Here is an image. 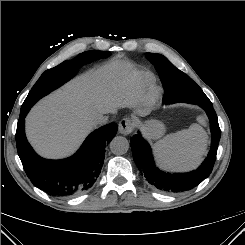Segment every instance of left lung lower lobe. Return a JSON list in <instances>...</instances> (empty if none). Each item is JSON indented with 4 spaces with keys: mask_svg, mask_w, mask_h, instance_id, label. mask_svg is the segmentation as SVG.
<instances>
[{
    "mask_svg": "<svg viewBox=\"0 0 245 245\" xmlns=\"http://www.w3.org/2000/svg\"><path fill=\"white\" fill-rule=\"evenodd\" d=\"M182 100V102L195 104L203 108L210 120L212 134L211 149L199 168L188 173H164L155 166L150 145L141 136L140 132L131 138L133 159L139 171L151 185L167 193H179L190 190L210 175L216 160L221 135L213 105L201 89L191 90ZM168 101L169 99L163 98L164 104H172L167 103Z\"/></svg>",
    "mask_w": 245,
    "mask_h": 245,
    "instance_id": "0a47b994",
    "label": "left lung lower lobe"
}]
</instances>
